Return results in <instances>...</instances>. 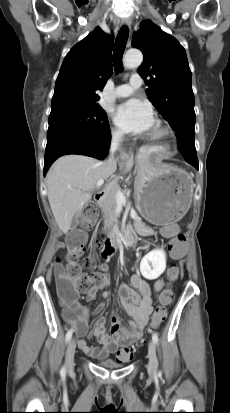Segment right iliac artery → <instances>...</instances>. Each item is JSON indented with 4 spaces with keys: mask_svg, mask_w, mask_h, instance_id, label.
<instances>
[{
    "mask_svg": "<svg viewBox=\"0 0 230 413\" xmlns=\"http://www.w3.org/2000/svg\"><path fill=\"white\" fill-rule=\"evenodd\" d=\"M72 334H73V329L68 330V332L66 333V341L67 342L70 341V339L72 337ZM65 373H66V369H65V367H62V369L60 371V374L65 376Z\"/></svg>",
    "mask_w": 230,
    "mask_h": 413,
    "instance_id": "1",
    "label": "right iliac artery"
}]
</instances>
